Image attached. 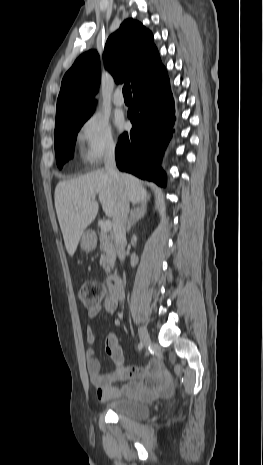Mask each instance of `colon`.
<instances>
[{
  "mask_svg": "<svg viewBox=\"0 0 263 465\" xmlns=\"http://www.w3.org/2000/svg\"><path fill=\"white\" fill-rule=\"evenodd\" d=\"M105 296V288L94 281H86L81 284L79 289V297L82 303L88 307L92 308L102 301Z\"/></svg>",
  "mask_w": 263,
  "mask_h": 465,
  "instance_id": "1",
  "label": "colon"
}]
</instances>
